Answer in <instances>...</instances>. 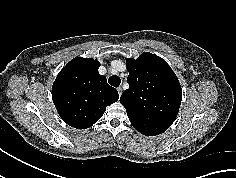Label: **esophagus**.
Segmentation results:
<instances>
[{
  "mask_svg": "<svg viewBox=\"0 0 236 178\" xmlns=\"http://www.w3.org/2000/svg\"><path fill=\"white\" fill-rule=\"evenodd\" d=\"M117 91H118L119 96H121V94H122V88H121V87H118V88H117Z\"/></svg>",
  "mask_w": 236,
  "mask_h": 178,
  "instance_id": "esophagus-1",
  "label": "esophagus"
}]
</instances>
